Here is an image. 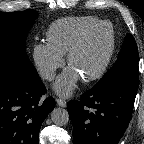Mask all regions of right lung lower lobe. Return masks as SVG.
I'll return each instance as SVG.
<instances>
[{"label": "right lung lower lobe", "instance_id": "obj_1", "mask_svg": "<svg viewBox=\"0 0 144 144\" xmlns=\"http://www.w3.org/2000/svg\"><path fill=\"white\" fill-rule=\"evenodd\" d=\"M40 78L28 83L13 76L0 77V144H39V130L54 109L52 97Z\"/></svg>", "mask_w": 144, "mask_h": 144}]
</instances>
